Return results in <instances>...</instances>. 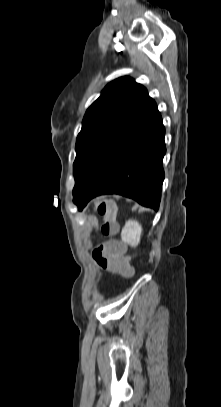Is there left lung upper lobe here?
<instances>
[{
    "mask_svg": "<svg viewBox=\"0 0 221 407\" xmlns=\"http://www.w3.org/2000/svg\"><path fill=\"white\" fill-rule=\"evenodd\" d=\"M148 99V92L142 85L130 77H122L109 83L88 108L76 141L73 196L84 186L112 144Z\"/></svg>",
    "mask_w": 221,
    "mask_h": 407,
    "instance_id": "obj_1",
    "label": "left lung upper lobe"
}]
</instances>
